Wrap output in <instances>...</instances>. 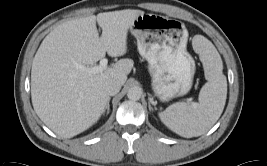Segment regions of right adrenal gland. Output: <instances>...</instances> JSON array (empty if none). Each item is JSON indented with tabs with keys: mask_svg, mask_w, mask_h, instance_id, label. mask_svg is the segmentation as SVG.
Returning a JSON list of instances; mask_svg holds the SVG:
<instances>
[{
	"mask_svg": "<svg viewBox=\"0 0 267 166\" xmlns=\"http://www.w3.org/2000/svg\"><path fill=\"white\" fill-rule=\"evenodd\" d=\"M110 99H111V98L108 99V102H107V105H106V110H107L106 113H107V114L109 113V110H110V104H109V103H110Z\"/></svg>",
	"mask_w": 267,
	"mask_h": 166,
	"instance_id": "right-adrenal-gland-1",
	"label": "right adrenal gland"
}]
</instances>
